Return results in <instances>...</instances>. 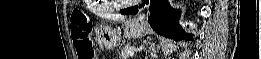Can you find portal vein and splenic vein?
I'll use <instances>...</instances> for the list:
<instances>
[{
    "label": "portal vein and splenic vein",
    "mask_w": 261,
    "mask_h": 59,
    "mask_svg": "<svg viewBox=\"0 0 261 59\" xmlns=\"http://www.w3.org/2000/svg\"><path fill=\"white\" fill-rule=\"evenodd\" d=\"M129 55L133 56L134 55V51L133 50L129 51Z\"/></svg>",
    "instance_id": "18ae733b"
}]
</instances>
